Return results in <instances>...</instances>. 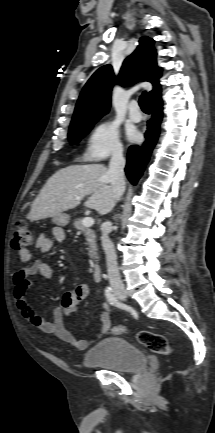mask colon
<instances>
[{
    "label": "colon",
    "instance_id": "obj_1",
    "mask_svg": "<svg viewBox=\"0 0 215 433\" xmlns=\"http://www.w3.org/2000/svg\"><path fill=\"white\" fill-rule=\"evenodd\" d=\"M33 233L25 221H18L15 224L12 246L14 249H22L31 245ZM113 334L120 335L127 333V329L122 325H117L112 329ZM137 341L153 353L160 355H170L173 352L166 337L160 333L151 331H140L137 334Z\"/></svg>",
    "mask_w": 215,
    "mask_h": 433
}]
</instances>
